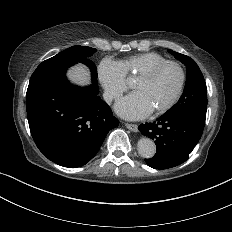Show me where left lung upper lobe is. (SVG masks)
I'll use <instances>...</instances> for the list:
<instances>
[{
	"mask_svg": "<svg viewBox=\"0 0 232 232\" xmlns=\"http://www.w3.org/2000/svg\"><path fill=\"white\" fill-rule=\"evenodd\" d=\"M168 52L186 65L187 76L181 98L165 114L182 115L198 125L204 126L207 110V88L203 74L192 58L170 49Z\"/></svg>",
	"mask_w": 232,
	"mask_h": 232,
	"instance_id": "5c2ea615",
	"label": "left lung upper lobe"
}]
</instances>
